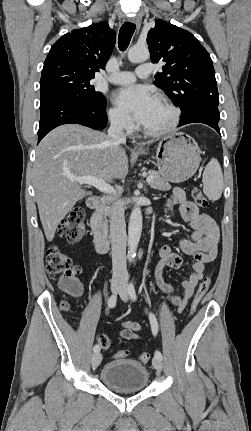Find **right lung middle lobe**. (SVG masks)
<instances>
[{"instance_id": "1", "label": "right lung middle lobe", "mask_w": 251, "mask_h": 431, "mask_svg": "<svg viewBox=\"0 0 251 431\" xmlns=\"http://www.w3.org/2000/svg\"><path fill=\"white\" fill-rule=\"evenodd\" d=\"M94 75L85 73L67 64H54L43 68L40 81L41 99L54 94H63L91 103L106 101L102 93L91 84Z\"/></svg>"}]
</instances>
